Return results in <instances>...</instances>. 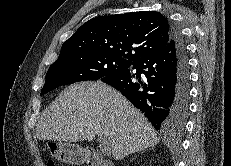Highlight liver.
<instances>
[{"mask_svg":"<svg viewBox=\"0 0 231 166\" xmlns=\"http://www.w3.org/2000/svg\"><path fill=\"white\" fill-rule=\"evenodd\" d=\"M99 134L108 138L115 160L160 141L144 114L101 81L67 87L41 114L36 127L39 140L92 141Z\"/></svg>","mask_w":231,"mask_h":166,"instance_id":"1","label":"liver"}]
</instances>
